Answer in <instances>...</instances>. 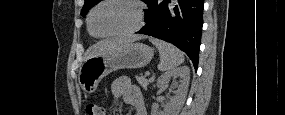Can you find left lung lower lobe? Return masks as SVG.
Masks as SVG:
<instances>
[{
  "instance_id": "left-lung-lower-lobe-1",
  "label": "left lung lower lobe",
  "mask_w": 285,
  "mask_h": 115,
  "mask_svg": "<svg viewBox=\"0 0 285 115\" xmlns=\"http://www.w3.org/2000/svg\"><path fill=\"white\" fill-rule=\"evenodd\" d=\"M146 25L137 33L172 43L197 69L203 26L202 0H145Z\"/></svg>"
}]
</instances>
